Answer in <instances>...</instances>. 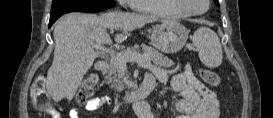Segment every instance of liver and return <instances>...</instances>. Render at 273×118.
Masks as SVG:
<instances>
[{
  "instance_id": "obj_1",
  "label": "liver",
  "mask_w": 273,
  "mask_h": 118,
  "mask_svg": "<svg viewBox=\"0 0 273 118\" xmlns=\"http://www.w3.org/2000/svg\"><path fill=\"white\" fill-rule=\"evenodd\" d=\"M156 21L151 15L128 12L95 14L70 13L61 17L53 32L54 58L47 73L46 89L55 102L72 100L98 52L93 44H112L107 29H120L115 41L121 43L131 32Z\"/></svg>"
}]
</instances>
